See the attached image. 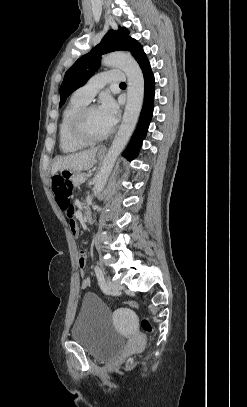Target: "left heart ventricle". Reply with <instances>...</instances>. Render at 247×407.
<instances>
[{"instance_id":"b2bd125f","label":"left heart ventricle","mask_w":247,"mask_h":407,"mask_svg":"<svg viewBox=\"0 0 247 407\" xmlns=\"http://www.w3.org/2000/svg\"><path fill=\"white\" fill-rule=\"evenodd\" d=\"M86 130L92 137H99L105 134L110 128L101 117L98 108L92 109L86 116Z\"/></svg>"}]
</instances>
